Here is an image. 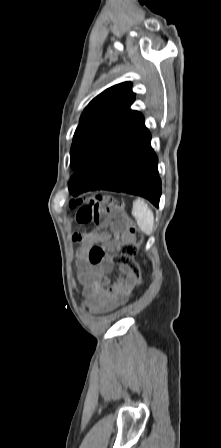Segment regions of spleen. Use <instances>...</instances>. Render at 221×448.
<instances>
[{
  "label": "spleen",
  "instance_id": "obj_1",
  "mask_svg": "<svg viewBox=\"0 0 221 448\" xmlns=\"http://www.w3.org/2000/svg\"><path fill=\"white\" fill-rule=\"evenodd\" d=\"M132 215L137 221L140 230L150 235L154 227V214L150 207L141 199L133 201Z\"/></svg>",
  "mask_w": 221,
  "mask_h": 448
}]
</instances>
